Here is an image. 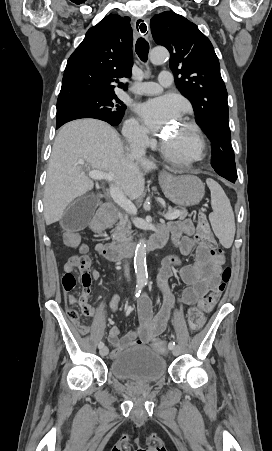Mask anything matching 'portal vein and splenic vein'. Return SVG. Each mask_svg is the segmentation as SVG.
<instances>
[{"label":"portal vein and splenic vein","mask_w":272,"mask_h":451,"mask_svg":"<svg viewBox=\"0 0 272 451\" xmlns=\"http://www.w3.org/2000/svg\"><path fill=\"white\" fill-rule=\"evenodd\" d=\"M88 176L89 178H92V180H107V182H113L115 178L113 172H101V170H91V172H88ZM110 194L114 202H116L120 208H123L125 212H128V214H134V216L137 214V208H135L131 200H127V198H125L122 192H119L118 188H112ZM163 216L166 220H176L179 216V212H173V214H163Z\"/></svg>","instance_id":"portal-vein-and-splenic-vein-1"}]
</instances>
